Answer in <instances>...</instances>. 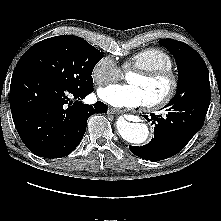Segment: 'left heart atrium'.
<instances>
[{"label":"left heart atrium","instance_id":"obj_1","mask_svg":"<svg viewBox=\"0 0 221 221\" xmlns=\"http://www.w3.org/2000/svg\"><path fill=\"white\" fill-rule=\"evenodd\" d=\"M101 100L115 107L134 108L145 104L140 89L133 84H113L99 89Z\"/></svg>","mask_w":221,"mask_h":221}]
</instances>
